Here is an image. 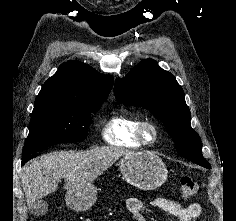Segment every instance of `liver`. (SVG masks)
Listing matches in <instances>:
<instances>
[{"instance_id":"liver-1","label":"liver","mask_w":236,"mask_h":221,"mask_svg":"<svg viewBox=\"0 0 236 221\" xmlns=\"http://www.w3.org/2000/svg\"><path fill=\"white\" fill-rule=\"evenodd\" d=\"M128 153L131 152L124 148L103 146L86 151H56L35 158L21 173L28 208L37 199L55 192L58 180L65 179L67 191L83 188Z\"/></svg>"}]
</instances>
